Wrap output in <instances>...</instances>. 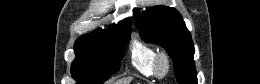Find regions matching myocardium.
Segmentation results:
<instances>
[{"mask_svg": "<svg viewBox=\"0 0 260 84\" xmlns=\"http://www.w3.org/2000/svg\"><path fill=\"white\" fill-rule=\"evenodd\" d=\"M171 69V60L166 52H159L155 57L154 71L155 75L163 78L168 75Z\"/></svg>", "mask_w": 260, "mask_h": 84, "instance_id": "f54148a6", "label": "myocardium"}]
</instances>
